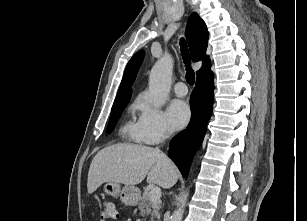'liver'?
Returning a JSON list of instances; mask_svg holds the SVG:
<instances>
[{
	"mask_svg": "<svg viewBox=\"0 0 307 221\" xmlns=\"http://www.w3.org/2000/svg\"><path fill=\"white\" fill-rule=\"evenodd\" d=\"M176 166L158 148L137 144H115L93 158L87 189L92 194L105 182L134 186L147 176V183L171 188L178 180Z\"/></svg>",
	"mask_w": 307,
	"mask_h": 221,
	"instance_id": "1",
	"label": "liver"
}]
</instances>
